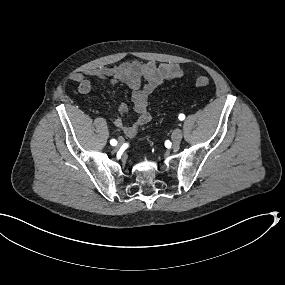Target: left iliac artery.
Listing matches in <instances>:
<instances>
[{
  "instance_id": "left-iliac-artery-1",
  "label": "left iliac artery",
  "mask_w": 285,
  "mask_h": 285,
  "mask_svg": "<svg viewBox=\"0 0 285 285\" xmlns=\"http://www.w3.org/2000/svg\"><path fill=\"white\" fill-rule=\"evenodd\" d=\"M178 118H179V120H181V121H182V120H184V119H185V115H184V114H180Z\"/></svg>"
}]
</instances>
